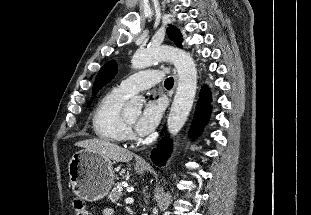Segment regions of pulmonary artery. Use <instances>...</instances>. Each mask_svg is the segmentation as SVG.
<instances>
[{
    "mask_svg": "<svg viewBox=\"0 0 311 215\" xmlns=\"http://www.w3.org/2000/svg\"><path fill=\"white\" fill-rule=\"evenodd\" d=\"M161 78L162 73L159 70H143L122 80L117 88L123 93L131 96L137 92L151 88L159 83Z\"/></svg>",
    "mask_w": 311,
    "mask_h": 215,
    "instance_id": "1",
    "label": "pulmonary artery"
}]
</instances>
